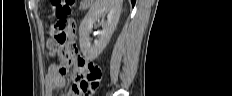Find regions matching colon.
I'll return each instance as SVG.
<instances>
[{
    "mask_svg": "<svg viewBox=\"0 0 232 96\" xmlns=\"http://www.w3.org/2000/svg\"><path fill=\"white\" fill-rule=\"evenodd\" d=\"M52 18L49 32L52 42L55 43L53 53L58 54L64 59L71 60L77 58L75 70V83L78 85L80 93L88 96L92 94V89L97 85L101 78L102 71L98 66L95 68H85V63H92L80 57L75 46H69L66 43L74 35H68L67 23L73 15L74 0H52ZM91 83V85H90Z\"/></svg>",
    "mask_w": 232,
    "mask_h": 96,
    "instance_id": "1",
    "label": "colon"
}]
</instances>
